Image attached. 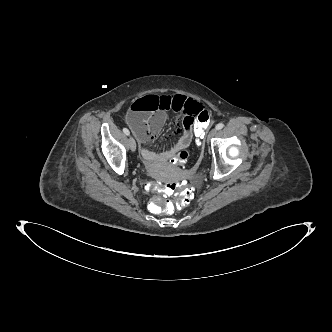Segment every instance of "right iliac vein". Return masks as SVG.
<instances>
[{"label": "right iliac vein", "instance_id": "1", "mask_svg": "<svg viewBox=\"0 0 332 332\" xmlns=\"http://www.w3.org/2000/svg\"><path fill=\"white\" fill-rule=\"evenodd\" d=\"M128 141H129V147H130L131 151L134 152L136 150V142H135L134 138L129 137Z\"/></svg>", "mask_w": 332, "mask_h": 332}]
</instances>
